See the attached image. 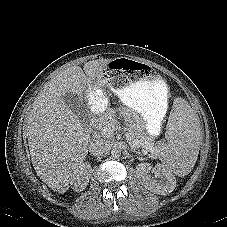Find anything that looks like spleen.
Listing matches in <instances>:
<instances>
[{"label": "spleen", "instance_id": "obj_1", "mask_svg": "<svg viewBox=\"0 0 227 227\" xmlns=\"http://www.w3.org/2000/svg\"><path fill=\"white\" fill-rule=\"evenodd\" d=\"M171 113L167 126L168 145L162 148L160 156L167 168L182 177L191 172L197 160L201 128L187 100H176Z\"/></svg>", "mask_w": 227, "mask_h": 227}]
</instances>
